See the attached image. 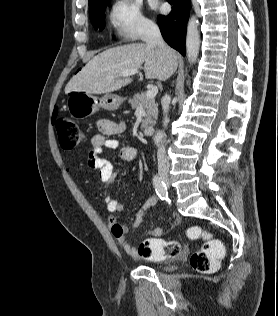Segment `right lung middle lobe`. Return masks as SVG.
I'll return each mask as SVG.
<instances>
[{
    "mask_svg": "<svg viewBox=\"0 0 278 316\" xmlns=\"http://www.w3.org/2000/svg\"><path fill=\"white\" fill-rule=\"evenodd\" d=\"M108 1L109 0L102 1L94 6L92 9H89V17L95 29L99 28L100 30H102L104 28V11L106 9Z\"/></svg>",
    "mask_w": 278,
    "mask_h": 316,
    "instance_id": "right-lung-middle-lobe-1",
    "label": "right lung middle lobe"
}]
</instances>
